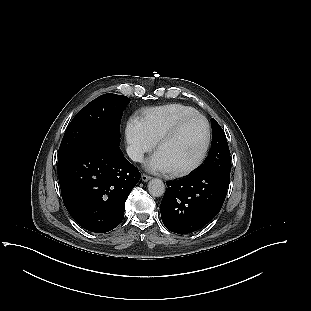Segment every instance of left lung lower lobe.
Masks as SVG:
<instances>
[{"instance_id":"1","label":"left lung lower lobe","mask_w":311,"mask_h":311,"mask_svg":"<svg viewBox=\"0 0 311 311\" xmlns=\"http://www.w3.org/2000/svg\"><path fill=\"white\" fill-rule=\"evenodd\" d=\"M230 174L216 170L195 172L190 177L166 182L168 188L160 205L165 227L178 234L205 226L220 211Z\"/></svg>"}]
</instances>
